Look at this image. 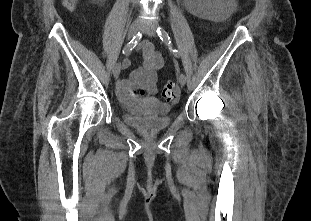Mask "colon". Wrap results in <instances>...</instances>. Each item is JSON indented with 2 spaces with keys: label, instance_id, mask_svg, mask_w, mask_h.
Listing matches in <instances>:
<instances>
[{
  "label": "colon",
  "instance_id": "1",
  "mask_svg": "<svg viewBox=\"0 0 311 221\" xmlns=\"http://www.w3.org/2000/svg\"><path fill=\"white\" fill-rule=\"evenodd\" d=\"M63 6L70 10L74 11L77 7L78 0H61ZM144 88H135L131 94L132 99H141L144 95ZM178 94L177 86L174 82H167L162 89V96L167 101H172Z\"/></svg>",
  "mask_w": 311,
  "mask_h": 221
}]
</instances>
